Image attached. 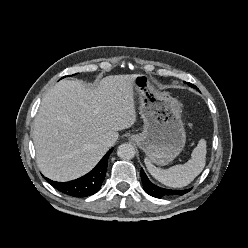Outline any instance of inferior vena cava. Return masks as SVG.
I'll use <instances>...</instances> for the list:
<instances>
[{"label": "inferior vena cava", "instance_id": "602c4592", "mask_svg": "<svg viewBox=\"0 0 248 248\" xmlns=\"http://www.w3.org/2000/svg\"><path fill=\"white\" fill-rule=\"evenodd\" d=\"M114 143H115V140L113 138H111V137L106 138V139L103 140V144L105 146H107V147L112 146Z\"/></svg>", "mask_w": 248, "mask_h": 248}]
</instances>
